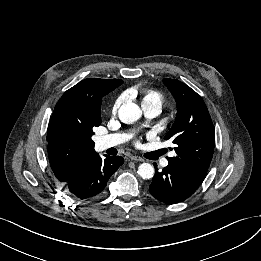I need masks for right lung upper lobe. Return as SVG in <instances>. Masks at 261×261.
<instances>
[{
  "mask_svg": "<svg viewBox=\"0 0 261 261\" xmlns=\"http://www.w3.org/2000/svg\"><path fill=\"white\" fill-rule=\"evenodd\" d=\"M123 83L119 79H85L59 99L49 122L47 141L50 166L55 177L64 183L93 154L94 142L82 138L65 140L51 134L62 123H78L88 117H100L102 98Z\"/></svg>",
  "mask_w": 261,
  "mask_h": 261,
  "instance_id": "right-lung-upper-lobe-1",
  "label": "right lung upper lobe"
}]
</instances>
